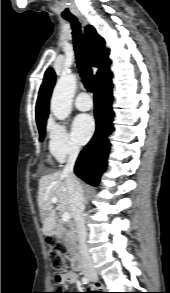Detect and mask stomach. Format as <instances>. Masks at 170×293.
Masks as SVG:
<instances>
[{
	"label": "stomach",
	"mask_w": 170,
	"mask_h": 293,
	"mask_svg": "<svg viewBox=\"0 0 170 293\" xmlns=\"http://www.w3.org/2000/svg\"><path fill=\"white\" fill-rule=\"evenodd\" d=\"M50 234H56V232L55 231H52Z\"/></svg>",
	"instance_id": "obj_1"
}]
</instances>
